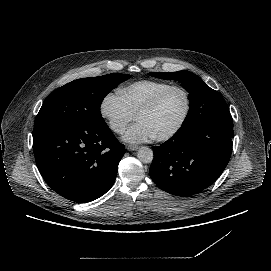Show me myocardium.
Instances as JSON below:
<instances>
[{
	"label": "myocardium",
	"instance_id": "obj_1",
	"mask_svg": "<svg viewBox=\"0 0 271 271\" xmlns=\"http://www.w3.org/2000/svg\"><path fill=\"white\" fill-rule=\"evenodd\" d=\"M174 90H181L185 96L186 99V108L185 112L183 114V117L181 118L180 122L176 125L175 128H173L170 132H168L165 135L155 137L154 140L157 142H167L171 139H173L185 126L186 122L188 121V118L191 113L192 109V96L190 91L182 85L179 84H173L168 86L166 89L158 93L146 106H144L137 114L136 119L142 115L148 114L153 112L158 108V106L162 103V101L165 99V97Z\"/></svg>",
	"mask_w": 271,
	"mask_h": 271
}]
</instances>
